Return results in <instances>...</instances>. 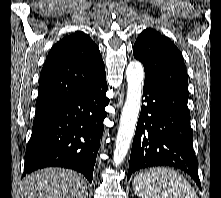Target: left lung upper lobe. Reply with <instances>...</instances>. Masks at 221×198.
Wrapping results in <instances>:
<instances>
[{
    "instance_id": "1",
    "label": "left lung upper lobe",
    "mask_w": 221,
    "mask_h": 198,
    "mask_svg": "<svg viewBox=\"0 0 221 198\" xmlns=\"http://www.w3.org/2000/svg\"><path fill=\"white\" fill-rule=\"evenodd\" d=\"M133 54L141 61L145 79H149L177 103L187 107L188 76L183 57L172 41L153 29L138 36Z\"/></svg>"
}]
</instances>
